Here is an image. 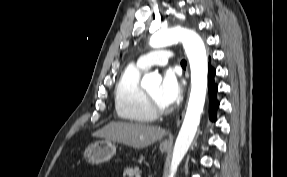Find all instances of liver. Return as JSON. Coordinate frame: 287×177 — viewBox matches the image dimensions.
<instances>
[{
	"label": "liver",
	"instance_id": "obj_1",
	"mask_svg": "<svg viewBox=\"0 0 287 177\" xmlns=\"http://www.w3.org/2000/svg\"><path fill=\"white\" fill-rule=\"evenodd\" d=\"M166 133L164 129L156 126L111 122L95 132L93 136L142 149L160 140Z\"/></svg>",
	"mask_w": 287,
	"mask_h": 177
}]
</instances>
